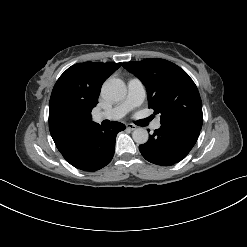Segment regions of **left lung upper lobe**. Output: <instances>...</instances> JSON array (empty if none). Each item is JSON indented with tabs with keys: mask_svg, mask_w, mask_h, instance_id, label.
I'll return each mask as SVG.
<instances>
[{
	"mask_svg": "<svg viewBox=\"0 0 247 247\" xmlns=\"http://www.w3.org/2000/svg\"><path fill=\"white\" fill-rule=\"evenodd\" d=\"M122 66L146 87L148 106L155 113H161V125L175 124L201 130V98L195 83L183 69L159 58L130 61Z\"/></svg>",
	"mask_w": 247,
	"mask_h": 247,
	"instance_id": "left-lung-upper-lobe-1",
	"label": "left lung upper lobe"
}]
</instances>
